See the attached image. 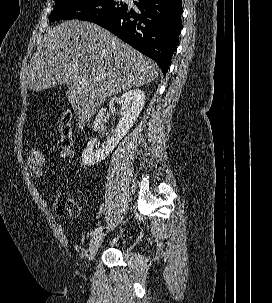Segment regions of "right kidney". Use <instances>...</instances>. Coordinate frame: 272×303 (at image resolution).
<instances>
[{
  "label": "right kidney",
  "mask_w": 272,
  "mask_h": 303,
  "mask_svg": "<svg viewBox=\"0 0 272 303\" xmlns=\"http://www.w3.org/2000/svg\"><path fill=\"white\" fill-rule=\"evenodd\" d=\"M144 103L145 93L140 89L130 90L120 97V105L123 112L114 133L96 150H94V147L99 144L97 139H91L87 143L81 157V162L84 166H91L101 162L114 150L116 145L134 125L143 109ZM106 115L107 108H102L93 123L95 132L101 129Z\"/></svg>",
  "instance_id": "1"
}]
</instances>
